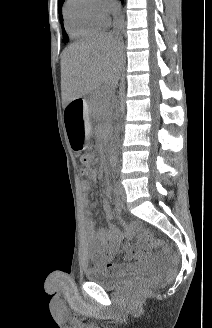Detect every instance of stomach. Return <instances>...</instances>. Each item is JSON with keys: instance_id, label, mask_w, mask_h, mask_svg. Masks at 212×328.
Returning <instances> with one entry per match:
<instances>
[{"instance_id": "1", "label": "stomach", "mask_w": 212, "mask_h": 328, "mask_svg": "<svg viewBox=\"0 0 212 328\" xmlns=\"http://www.w3.org/2000/svg\"><path fill=\"white\" fill-rule=\"evenodd\" d=\"M74 101L75 100L65 105L63 118L64 128H67L66 134L69 140V146H73V149H86V142L88 139L86 135L88 123L87 110L84 109V102Z\"/></svg>"}]
</instances>
